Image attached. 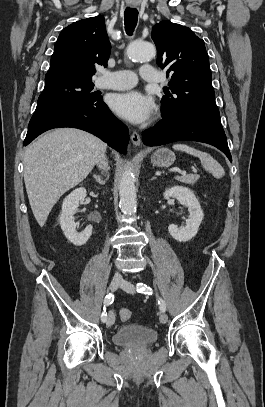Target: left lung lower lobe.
Segmentation results:
<instances>
[{"instance_id":"obj_1","label":"left lung lower lobe","mask_w":265,"mask_h":407,"mask_svg":"<svg viewBox=\"0 0 265 407\" xmlns=\"http://www.w3.org/2000/svg\"><path fill=\"white\" fill-rule=\"evenodd\" d=\"M142 140L147 146L182 140L204 142L220 149L232 161L224 130L195 119H162L155 127L143 132Z\"/></svg>"}]
</instances>
